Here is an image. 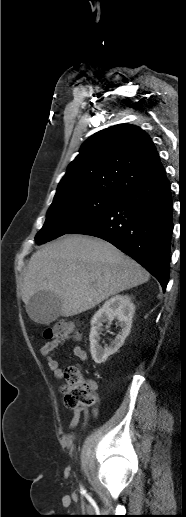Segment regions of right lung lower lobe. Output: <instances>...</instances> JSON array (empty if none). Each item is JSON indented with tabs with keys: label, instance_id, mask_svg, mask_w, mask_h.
<instances>
[{
	"label": "right lung lower lobe",
	"instance_id": "obj_1",
	"mask_svg": "<svg viewBox=\"0 0 186 517\" xmlns=\"http://www.w3.org/2000/svg\"><path fill=\"white\" fill-rule=\"evenodd\" d=\"M172 231L171 189L165 176L127 191L112 206L69 233L110 242L146 268L165 291Z\"/></svg>",
	"mask_w": 186,
	"mask_h": 517
}]
</instances>
